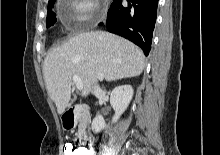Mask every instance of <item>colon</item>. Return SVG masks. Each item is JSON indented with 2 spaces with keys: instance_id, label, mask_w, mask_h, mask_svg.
Instances as JSON below:
<instances>
[{
  "instance_id": "colon-1",
  "label": "colon",
  "mask_w": 220,
  "mask_h": 155,
  "mask_svg": "<svg viewBox=\"0 0 220 155\" xmlns=\"http://www.w3.org/2000/svg\"><path fill=\"white\" fill-rule=\"evenodd\" d=\"M65 155H90L77 142H67L64 146Z\"/></svg>"
}]
</instances>
